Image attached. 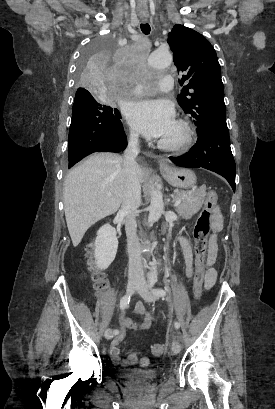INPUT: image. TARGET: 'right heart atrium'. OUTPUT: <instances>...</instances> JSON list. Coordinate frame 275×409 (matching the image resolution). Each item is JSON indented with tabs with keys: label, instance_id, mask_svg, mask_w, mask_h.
Listing matches in <instances>:
<instances>
[{
	"label": "right heart atrium",
	"instance_id": "d8ad5b80",
	"mask_svg": "<svg viewBox=\"0 0 275 409\" xmlns=\"http://www.w3.org/2000/svg\"><path fill=\"white\" fill-rule=\"evenodd\" d=\"M129 137H130L132 140H135V139H137V137H138V132H137V130H136L133 126H130V127H129Z\"/></svg>",
	"mask_w": 275,
	"mask_h": 409
}]
</instances>
